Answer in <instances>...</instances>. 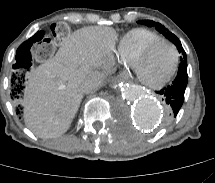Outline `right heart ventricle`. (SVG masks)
<instances>
[{
  "mask_svg": "<svg viewBox=\"0 0 215 183\" xmlns=\"http://www.w3.org/2000/svg\"><path fill=\"white\" fill-rule=\"evenodd\" d=\"M158 39H161V36L155 32L140 28L132 29L123 35L118 44L119 57L130 67L141 51Z\"/></svg>",
  "mask_w": 215,
  "mask_h": 183,
  "instance_id": "1",
  "label": "right heart ventricle"
}]
</instances>
